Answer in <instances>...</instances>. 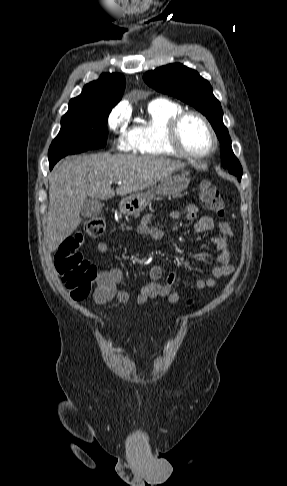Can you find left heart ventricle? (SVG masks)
<instances>
[{
    "label": "left heart ventricle",
    "mask_w": 287,
    "mask_h": 486,
    "mask_svg": "<svg viewBox=\"0 0 287 486\" xmlns=\"http://www.w3.org/2000/svg\"><path fill=\"white\" fill-rule=\"evenodd\" d=\"M180 139L183 146L192 152H205L211 147V137L196 117L187 118L180 129Z\"/></svg>",
    "instance_id": "1"
}]
</instances>
